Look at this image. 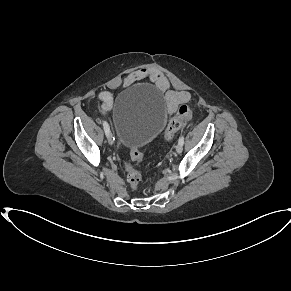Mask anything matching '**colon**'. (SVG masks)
Returning <instances> with one entry per match:
<instances>
[{"mask_svg":"<svg viewBox=\"0 0 291 291\" xmlns=\"http://www.w3.org/2000/svg\"><path fill=\"white\" fill-rule=\"evenodd\" d=\"M192 118V113L187 105H181L174 117L170 120L166 131H165V140L171 141L176 132L179 131L185 122ZM132 160L137 163H140L143 160V154L138 149H132L130 152ZM125 168L127 171V181L132 189H136L141 179L140 173L133 168L129 162H125Z\"/></svg>","mask_w":291,"mask_h":291,"instance_id":"5ec220e1","label":"colon"}]
</instances>
